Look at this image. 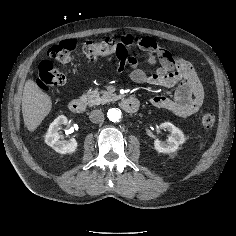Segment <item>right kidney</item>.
Instances as JSON below:
<instances>
[{
	"label": "right kidney",
	"instance_id": "right-kidney-1",
	"mask_svg": "<svg viewBox=\"0 0 236 236\" xmlns=\"http://www.w3.org/2000/svg\"><path fill=\"white\" fill-rule=\"evenodd\" d=\"M67 117L64 115L58 116L49 126L45 135V143L61 154H69L76 151L78 143L74 138L69 140H60L58 130L62 125L67 124Z\"/></svg>",
	"mask_w": 236,
	"mask_h": 236
}]
</instances>
